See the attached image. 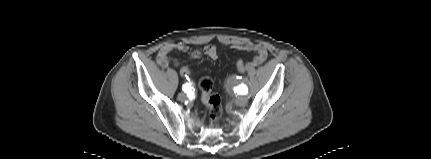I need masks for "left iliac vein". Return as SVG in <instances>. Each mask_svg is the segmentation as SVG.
Listing matches in <instances>:
<instances>
[{
    "mask_svg": "<svg viewBox=\"0 0 431 159\" xmlns=\"http://www.w3.org/2000/svg\"><path fill=\"white\" fill-rule=\"evenodd\" d=\"M247 99L244 96H241L238 98L237 102L239 105H244L246 103Z\"/></svg>",
    "mask_w": 431,
    "mask_h": 159,
    "instance_id": "obj_1",
    "label": "left iliac vein"
}]
</instances>
